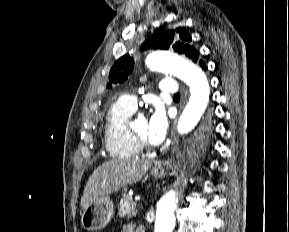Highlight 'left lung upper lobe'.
Wrapping results in <instances>:
<instances>
[{
    "instance_id": "obj_1",
    "label": "left lung upper lobe",
    "mask_w": 289,
    "mask_h": 232,
    "mask_svg": "<svg viewBox=\"0 0 289 232\" xmlns=\"http://www.w3.org/2000/svg\"><path fill=\"white\" fill-rule=\"evenodd\" d=\"M177 35L173 30L162 31L154 34L148 38L141 47V50H146L148 48L153 49H169L172 47L174 51L179 54H185L187 57L197 62L199 57V52L194 49L190 42L192 40L190 34L181 29L177 28ZM134 59L128 54L119 58L110 70L109 80L111 83H123L127 80L133 71ZM111 84L107 85V88H111Z\"/></svg>"
}]
</instances>
